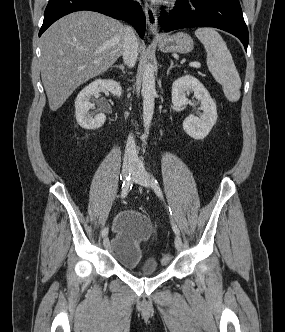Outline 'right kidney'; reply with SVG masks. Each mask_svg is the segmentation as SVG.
Wrapping results in <instances>:
<instances>
[{
    "instance_id": "ca27d5eb",
    "label": "right kidney",
    "mask_w": 285,
    "mask_h": 332,
    "mask_svg": "<svg viewBox=\"0 0 285 332\" xmlns=\"http://www.w3.org/2000/svg\"><path fill=\"white\" fill-rule=\"evenodd\" d=\"M100 92H110L112 95L120 97L122 88L118 82L112 79H97L80 91L75 100V116L78 124L84 129H98L105 123L104 113H99L95 117L89 113V110L94 107L90 102L91 96H98Z\"/></svg>"
}]
</instances>
